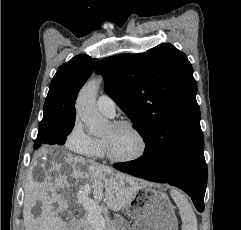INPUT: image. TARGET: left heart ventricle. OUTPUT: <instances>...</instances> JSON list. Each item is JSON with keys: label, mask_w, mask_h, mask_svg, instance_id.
<instances>
[{"label": "left heart ventricle", "mask_w": 241, "mask_h": 230, "mask_svg": "<svg viewBox=\"0 0 241 230\" xmlns=\"http://www.w3.org/2000/svg\"><path fill=\"white\" fill-rule=\"evenodd\" d=\"M111 148L112 153L119 158H130L140 150V141L137 135L127 127H110L104 137Z\"/></svg>", "instance_id": "left-heart-ventricle-1"}]
</instances>
